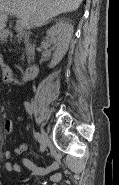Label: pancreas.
<instances>
[{
  "label": "pancreas",
  "instance_id": "obj_1",
  "mask_svg": "<svg viewBox=\"0 0 119 185\" xmlns=\"http://www.w3.org/2000/svg\"><path fill=\"white\" fill-rule=\"evenodd\" d=\"M18 38V41H22V38H24V43H25V47H26V54L29 56L30 55V52H31V45L29 44L28 40L26 37H24L22 34H18L16 36Z\"/></svg>",
  "mask_w": 119,
  "mask_h": 185
}]
</instances>
